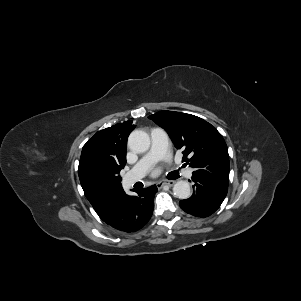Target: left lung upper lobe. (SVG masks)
I'll use <instances>...</instances> for the list:
<instances>
[{
    "label": "left lung upper lobe",
    "mask_w": 301,
    "mask_h": 301,
    "mask_svg": "<svg viewBox=\"0 0 301 301\" xmlns=\"http://www.w3.org/2000/svg\"><path fill=\"white\" fill-rule=\"evenodd\" d=\"M148 118L167 131L182 150V161L195 168L194 176L228 186V148L215 127L197 116L174 111H160Z\"/></svg>",
    "instance_id": "left-lung-upper-lobe-1"
}]
</instances>
